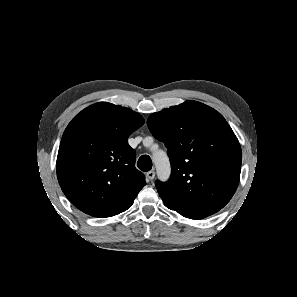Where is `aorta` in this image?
<instances>
[{
    "instance_id": "762f6f07",
    "label": "aorta",
    "mask_w": 297,
    "mask_h": 297,
    "mask_svg": "<svg viewBox=\"0 0 297 297\" xmlns=\"http://www.w3.org/2000/svg\"><path fill=\"white\" fill-rule=\"evenodd\" d=\"M153 162L155 164L157 174L161 180H167L170 176V162L168 155L163 150H158L153 153Z\"/></svg>"
}]
</instances>
